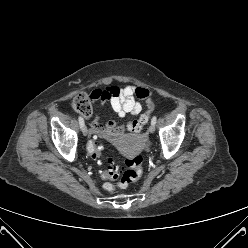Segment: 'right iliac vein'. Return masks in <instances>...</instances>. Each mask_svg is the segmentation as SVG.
<instances>
[{"instance_id": "1", "label": "right iliac vein", "mask_w": 248, "mask_h": 248, "mask_svg": "<svg viewBox=\"0 0 248 248\" xmlns=\"http://www.w3.org/2000/svg\"><path fill=\"white\" fill-rule=\"evenodd\" d=\"M82 132H83L84 136H86L88 134V130H87V127L85 125L82 128Z\"/></svg>"}]
</instances>
